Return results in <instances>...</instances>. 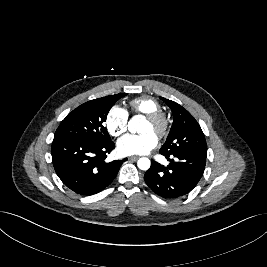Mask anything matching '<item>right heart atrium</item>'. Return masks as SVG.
Instances as JSON below:
<instances>
[{
    "instance_id": "1",
    "label": "right heart atrium",
    "mask_w": 267,
    "mask_h": 267,
    "mask_svg": "<svg viewBox=\"0 0 267 267\" xmlns=\"http://www.w3.org/2000/svg\"><path fill=\"white\" fill-rule=\"evenodd\" d=\"M128 120V112L123 107L114 105L106 114L105 125L112 136L118 137L127 130Z\"/></svg>"
}]
</instances>
